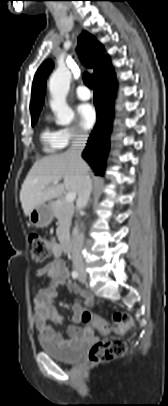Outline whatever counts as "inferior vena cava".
Here are the masks:
<instances>
[{
	"label": "inferior vena cava",
	"instance_id": "inferior-vena-cava-1",
	"mask_svg": "<svg viewBox=\"0 0 168 406\" xmlns=\"http://www.w3.org/2000/svg\"><path fill=\"white\" fill-rule=\"evenodd\" d=\"M88 139V135L80 133L76 135L72 141L71 147L68 149V153L71 154L75 160L82 165L84 163L83 159L81 158V153L85 148L86 142ZM92 191V180L88 173V171L82 172V186L81 190L78 194L77 199V212L83 209L90 198ZM84 243V234L82 232L76 233L73 238V247H72V256H73V263L76 268H83L84 262L83 257L81 254L82 247Z\"/></svg>",
	"mask_w": 168,
	"mask_h": 406
}]
</instances>
